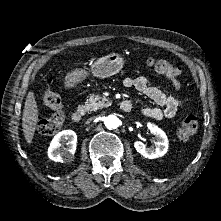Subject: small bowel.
<instances>
[{
  "label": "small bowel",
  "instance_id": "1",
  "mask_svg": "<svg viewBox=\"0 0 221 221\" xmlns=\"http://www.w3.org/2000/svg\"><path fill=\"white\" fill-rule=\"evenodd\" d=\"M123 85L126 88H134L138 90L159 106L142 108V114L151 119H173L177 115L178 111L184 106V102L181 99L150 85L147 78L144 76L135 78L127 77L124 79ZM171 85L175 90H179L181 88V82L178 78L172 80ZM126 101L131 104L129 100Z\"/></svg>",
  "mask_w": 221,
  "mask_h": 221
}]
</instances>
